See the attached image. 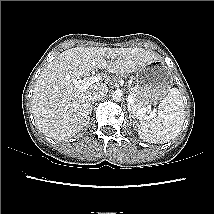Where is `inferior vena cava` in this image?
<instances>
[{
  "mask_svg": "<svg viewBox=\"0 0 214 214\" xmlns=\"http://www.w3.org/2000/svg\"><path fill=\"white\" fill-rule=\"evenodd\" d=\"M108 93V88L106 85H101L97 87L91 94H90V100L92 102L101 100L103 97H105Z\"/></svg>",
  "mask_w": 214,
  "mask_h": 214,
  "instance_id": "1",
  "label": "inferior vena cava"
}]
</instances>
